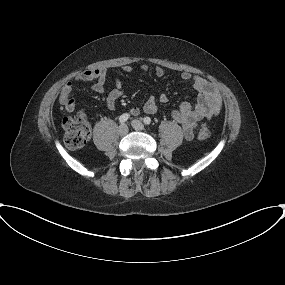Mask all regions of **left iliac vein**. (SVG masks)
<instances>
[{
    "mask_svg": "<svg viewBox=\"0 0 285 285\" xmlns=\"http://www.w3.org/2000/svg\"><path fill=\"white\" fill-rule=\"evenodd\" d=\"M131 125H132V127H133L135 130H138V131H141V130L144 129L143 123H142L141 121H139V120H133V121L131 122Z\"/></svg>",
    "mask_w": 285,
    "mask_h": 285,
    "instance_id": "left-iliac-vein-1",
    "label": "left iliac vein"
}]
</instances>
